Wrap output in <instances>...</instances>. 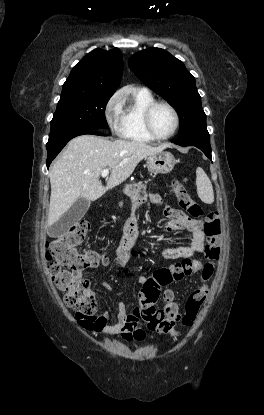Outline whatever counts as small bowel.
<instances>
[{"mask_svg":"<svg viewBox=\"0 0 264 415\" xmlns=\"http://www.w3.org/2000/svg\"><path fill=\"white\" fill-rule=\"evenodd\" d=\"M150 199L156 204L161 203L160 197L155 194H151ZM163 214L170 219L165 224L166 232L171 233L185 230L190 234V241L187 245L162 248L160 252L163 257L176 261L190 258L204 250L205 234L202 221L190 218L180 210L170 206L163 207ZM134 220L138 221V217L133 216L128 219L125 235L116 249V256L114 259L116 272L125 268L133 256L135 236L138 227V225L134 224ZM148 279H150V277L147 275H141L139 277V283L144 284ZM107 289L111 290V287L107 285ZM169 292L172 293L171 290H166V293ZM138 314L139 308L132 314H129L127 313L125 304L119 302L117 318L114 323L107 324L108 315L106 313H101L95 318L94 330L109 335L119 334L128 341L143 339L146 332L139 326L137 319Z\"/></svg>","mask_w":264,"mask_h":415,"instance_id":"1","label":"small bowel"}]
</instances>
